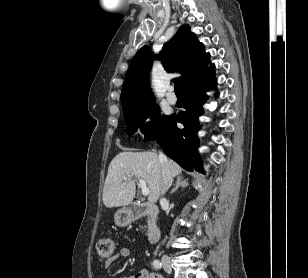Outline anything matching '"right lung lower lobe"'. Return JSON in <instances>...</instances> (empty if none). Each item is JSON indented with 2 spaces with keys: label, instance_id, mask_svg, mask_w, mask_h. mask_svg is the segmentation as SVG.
Here are the masks:
<instances>
[{
  "label": "right lung lower lobe",
  "instance_id": "98d812e1",
  "mask_svg": "<svg viewBox=\"0 0 308 278\" xmlns=\"http://www.w3.org/2000/svg\"><path fill=\"white\" fill-rule=\"evenodd\" d=\"M213 76L214 73L185 90L184 108L186 111L171 115L166 127L155 138L165 154L188 171L196 170L203 173L197 151L199 139L196 134L200 129L198 117L203 114L202 105L207 100L205 91L215 88ZM177 122L182 123L185 128H177Z\"/></svg>",
  "mask_w": 308,
  "mask_h": 278
}]
</instances>
